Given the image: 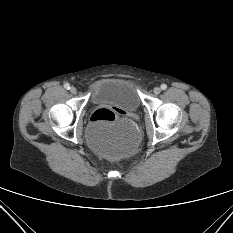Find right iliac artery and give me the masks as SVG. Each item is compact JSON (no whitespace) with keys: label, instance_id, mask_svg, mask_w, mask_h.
<instances>
[{"label":"right iliac artery","instance_id":"obj_1","mask_svg":"<svg viewBox=\"0 0 233 233\" xmlns=\"http://www.w3.org/2000/svg\"><path fill=\"white\" fill-rule=\"evenodd\" d=\"M64 88L67 89V90H69L70 89V84L69 83H65L64 84Z\"/></svg>","mask_w":233,"mask_h":233}]
</instances>
